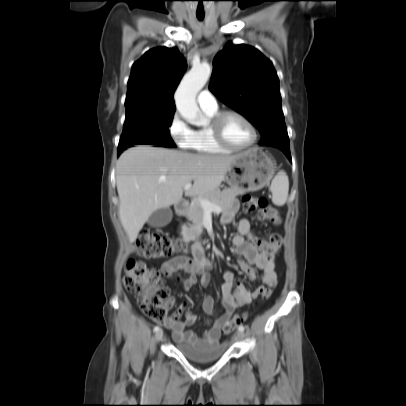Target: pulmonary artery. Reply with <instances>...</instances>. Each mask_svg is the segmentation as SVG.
Returning a JSON list of instances; mask_svg holds the SVG:
<instances>
[{"label":"pulmonary artery","mask_w":406,"mask_h":406,"mask_svg":"<svg viewBox=\"0 0 406 406\" xmlns=\"http://www.w3.org/2000/svg\"><path fill=\"white\" fill-rule=\"evenodd\" d=\"M197 101L202 109L213 110L218 108L215 96L208 89H203L198 94Z\"/></svg>","instance_id":"1"}]
</instances>
